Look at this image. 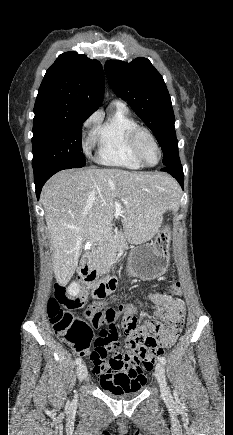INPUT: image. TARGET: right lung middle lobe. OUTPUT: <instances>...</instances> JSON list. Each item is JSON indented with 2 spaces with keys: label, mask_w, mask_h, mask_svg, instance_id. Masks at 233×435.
<instances>
[{
  "label": "right lung middle lobe",
  "mask_w": 233,
  "mask_h": 435,
  "mask_svg": "<svg viewBox=\"0 0 233 435\" xmlns=\"http://www.w3.org/2000/svg\"><path fill=\"white\" fill-rule=\"evenodd\" d=\"M90 115L40 116L33 120V169L64 164L81 168L86 161L82 153V123Z\"/></svg>",
  "instance_id": "dd1d6c3e"
}]
</instances>
